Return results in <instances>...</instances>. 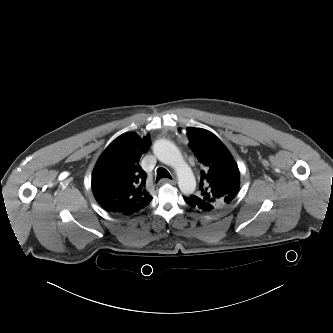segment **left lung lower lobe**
Here are the masks:
<instances>
[{"label":"left lung lower lobe","instance_id":"left-lung-lower-lobe-1","mask_svg":"<svg viewBox=\"0 0 333 333\" xmlns=\"http://www.w3.org/2000/svg\"><path fill=\"white\" fill-rule=\"evenodd\" d=\"M184 200L189 206L198 210L200 209L202 211L209 212L215 209L211 203L201 200L195 195L189 197L184 196Z\"/></svg>","mask_w":333,"mask_h":333}]
</instances>
